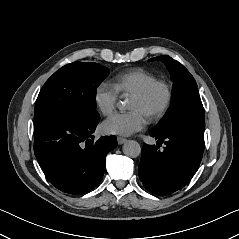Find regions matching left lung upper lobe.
Masks as SVG:
<instances>
[{"mask_svg": "<svg viewBox=\"0 0 239 239\" xmlns=\"http://www.w3.org/2000/svg\"><path fill=\"white\" fill-rule=\"evenodd\" d=\"M149 61H162L169 70L173 81L170 107L158 125L150 132L163 135L185 123L205 124L204 109L198 87L189 71L167 55L151 58Z\"/></svg>", "mask_w": 239, "mask_h": 239, "instance_id": "1", "label": "left lung upper lobe"}]
</instances>
